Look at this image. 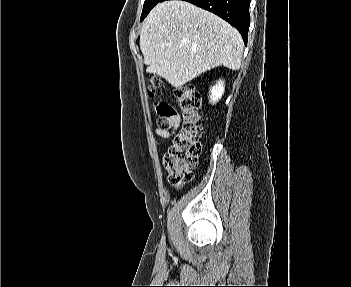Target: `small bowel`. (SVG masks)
Here are the masks:
<instances>
[{
    "instance_id": "c3829d8e",
    "label": "small bowel",
    "mask_w": 351,
    "mask_h": 287,
    "mask_svg": "<svg viewBox=\"0 0 351 287\" xmlns=\"http://www.w3.org/2000/svg\"><path fill=\"white\" fill-rule=\"evenodd\" d=\"M179 124H180V119L176 115L173 118L169 128H167V129H161V128L156 129L155 133H156V135H158V136H160V137H162L164 139L171 138L175 134L176 130L178 129Z\"/></svg>"
}]
</instances>
